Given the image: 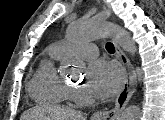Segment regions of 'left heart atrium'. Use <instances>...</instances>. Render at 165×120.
<instances>
[{
    "label": "left heart atrium",
    "mask_w": 165,
    "mask_h": 120,
    "mask_svg": "<svg viewBox=\"0 0 165 120\" xmlns=\"http://www.w3.org/2000/svg\"><path fill=\"white\" fill-rule=\"evenodd\" d=\"M87 88L91 94L99 98L113 96L120 88L123 80L119 66L104 60L94 61L88 70Z\"/></svg>",
    "instance_id": "left-heart-atrium-1"
}]
</instances>
